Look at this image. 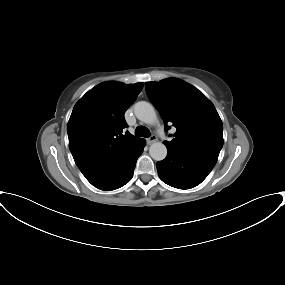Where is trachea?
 <instances>
[{"instance_id":"trachea-1","label":"trachea","mask_w":285,"mask_h":285,"mask_svg":"<svg viewBox=\"0 0 285 285\" xmlns=\"http://www.w3.org/2000/svg\"><path fill=\"white\" fill-rule=\"evenodd\" d=\"M135 134L136 136L138 137H149L150 136V131L147 127H144V126H138L136 127V130H135Z\"/></svg>"}]
</instances>
